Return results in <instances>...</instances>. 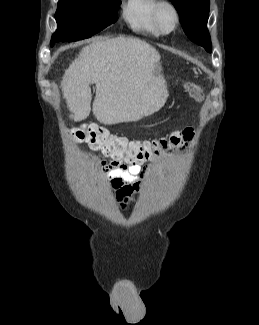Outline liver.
I'll return each mask as SVG.
<instances>
[{"mask_svg": "<svg viewBox=\"0 0 259 325\" xmlns=\"http://www.w3.org/2000/svg\"><path fill=\"white\" fill-rule=\"evenodd\" d=\"M159 61L158 51L136 38L96 39L83 47L61 82L71 118L89 116L93 83L92 111L105 125L136 122L158 111L168 97L163 79L156 75Z\"/></svg>", "mask_w": 259, "mask_h": 325, "instance_id": "6515ba94", "label": "liver"}]
</instances>
